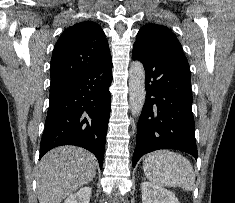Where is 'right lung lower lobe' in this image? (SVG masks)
<instances>
[{
    "instance_id": "obj_1",
    "label": "right lung lower lobe",
    "mask_w": 235,
    "mask_h": 203,
    "mask_svg": "<svg viewBox=\"0 0 235 203\" xmlns=\"http://www.w3.org/2000/svg\"><path fill=\"white\" fill-rule=\"evenodd\" d=\"M111 81L110 58L62 84L50 87L39 159L54 147L76 145L91 151L102 168L111 110Z\"/></svg>"
}]
</instances>
